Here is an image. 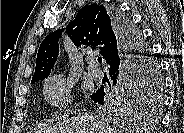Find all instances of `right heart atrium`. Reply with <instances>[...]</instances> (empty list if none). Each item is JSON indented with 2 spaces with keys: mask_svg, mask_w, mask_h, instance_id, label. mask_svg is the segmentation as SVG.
<instances>
[{
  "mask_svg": "<svg viewBox=\"0 0 184 133\" xmlns=\"http://www.w3.org/2000/svg\"><path fill=\"white\" fill-rule=\"evenodd\" d=\"M44 96L53 107L64 108L72 100V84L63 74L54 75L44 85Z\"/></svg>",
  "mask_w": 184,
  "mask_h": 133,
  "instance_id": "obj_1",
  "label": "right heart atrium"
}]
</instances>
